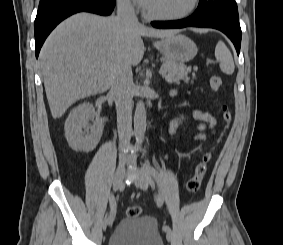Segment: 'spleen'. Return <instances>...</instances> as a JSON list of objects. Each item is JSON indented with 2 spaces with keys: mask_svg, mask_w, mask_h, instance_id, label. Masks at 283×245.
<instances>
[{
  "mask_svg": "<svg viewBox=\"0 0 283 245\" xmlns=\"http://www.w3.org/2000/svg\"><path fill=\"white\" fill-rule=\"evenodd\" d=\"M215 57L220 63V69L225 74H233L235 65L233 57L227 46L219 41L215 47Z\"/></svg>",
  "mask_w": 283,
  "mask_h": 245,
  "instance_id": "3e777b00",
  "label": "spleen"
}]
</instances>
